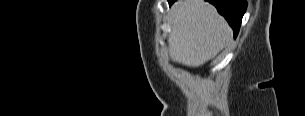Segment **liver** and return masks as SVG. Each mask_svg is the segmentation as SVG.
Masks as SVG:
<instances>
[{
  "label": "liver",
  "mask_w": 305,
  "mask_h": 116,
  "mask_svg": "<svg viewBox=\"0 0 305 116\" xmlns=\"http://www.w3.org/2000/svg\"><path fill=\"white\" fill-rule=\"evenodd\" d=\"M173 30L168 38L173 62L199 67L229 43L232 29L216 8L204 0H182L172 8Z\"/></svg>",
  "instance_id": "liver-1"
}]
</instances>
